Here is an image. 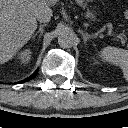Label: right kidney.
Returning a JSON list of instances; mask_svg holds the SVG:
<instances>
[{"mask_svg": "<svg viewBox=\"0 0 128 128\" xmlns=\"http://www.w3.org/2000/svg\"><path fill=\"white\" fill-rule=\"evenodd\" d=\"M31 54L32 51L30 49H25L18 54V59L21 63L27 64L31 60Z\"/></svg>", "mask_w": 128, "mask_h": 128, "instance_id": "obj_1", "label": "right kidney"}]
</instances>
